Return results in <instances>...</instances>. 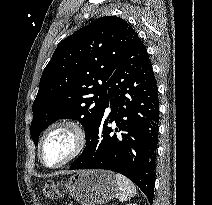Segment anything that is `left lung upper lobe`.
<instances>
[{
  "instance_id": "left-lung-upper-lobe-1",
  "label": "left lung upper lobe",
  "mask_w": 212,
  "mask_h": 205,
  "mask_svg": "<svg viewBox=\"0 0 212 205\" xmlns=\"http://www.w3.org/2000/svg\"><path fill=\"white\" fill-rule=\"evenodd\" d=\"M135 30L115 16L101 17L64 39L45 67L33 103L30 134L59 119H77L86 141L109 102L108 80L130 45Z\"/></svg>"
}]
</instances>
